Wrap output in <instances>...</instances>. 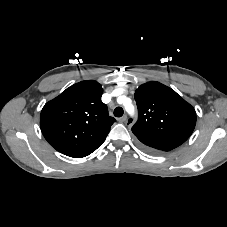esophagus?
<instances>
[{"label":"esophagus","instance_id":"34e87169","mask_svg":"<svg viewBox=\"0 0 227 227\" xmlns=\"http://www.w3.org/2000/svg\"><path fill=\"white\" fill-rule=\"evenodd\" d=\"M126 119H127V116H126V115H123L122 117H120V118L118 119V121H119L120 123H123V122L126 121Z\"/></svg>","mask_w":227,"mask_h":227}]
</instances>
